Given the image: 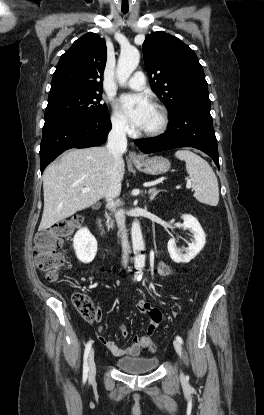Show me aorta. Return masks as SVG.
I'll list each match as a JSON object with an SVG mask.
<instances>
[{
    "mask_svg": "<svg viewBox=\"0 0 264 415\" xmlns=\"http://www.w3.org/2000/svg\"><path fill=\"white\" fill-rule=\"evenodd\" d=\"M140 61V53L134 48L130 47L121 52L118 59L116 76L121 85H124L132 72L136 69ZM132 246L134 251V265L136 268H143L145 266L144 241L142 237L141 227L138 221H134L131 227Z\"/></svg>",
    "mask_w": 264,
    "mask_h": 415,
    "instance_id": "aorta-1",
    "label": "aorta"
}]
</instances>
